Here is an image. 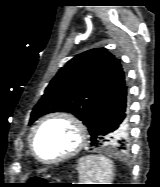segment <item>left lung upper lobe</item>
Here are the masks:
<instances>
[{
    "mask_svg": "<svg viewBox=\"0 0 160 187\" xmlns=\"http://www.w3.org/2000/svg\"><path fill=\"white\" fill-rule=\"evenodd\" d=\"M124 86L125 75L119 60L103 48L88 50L58 71L33 108L29 124L44 114L65 111L78 117L90 131L102 107ZM125 130L120 127L113 139ZM122 139L123 149H127L128 132Z\"/></svg>",
    "mask_w": 160,
    "mask_h": 187,
    "instance_id": "obj_1",
    "label": "left lung upper lobe"
}]
</instances>
